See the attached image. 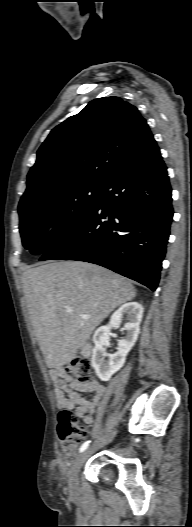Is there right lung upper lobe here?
<instances>
[{
    "instance_id": "1",
    "label": "right lung upper lobe",
    "mask_w": 192,
    "mask_h": 527,
    "mask_svg": "<svg viewBox=\"0 0 192 527\" xmlns=\"http://www.w3.org/2000/svg\"><path fill=\"white\" fill-rule=\"evenodd\" d=\"M152 140L135 106L115 96L95 99L48 135L19 205L79 184L105 185Z\"/></svg>"
}]
</instances>
